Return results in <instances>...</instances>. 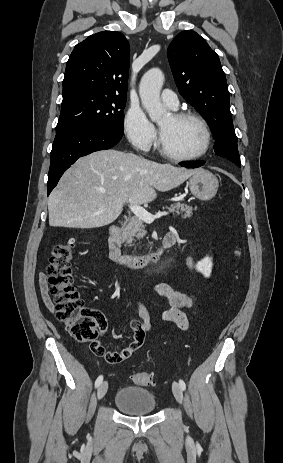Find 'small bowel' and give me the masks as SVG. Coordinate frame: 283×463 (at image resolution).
Returning <instances> with one entry per match:
<instances>
[{
    "label": "small bowel",
    "mask_w": 283,
    "mask_h": 463,
    "mask_svg": "<svg viewBox=\"0 0 283 463\" xmlns=\"http://www.w3.org/2000/svg\"><path fill=\"white\" fill-rule=\"evenodd\" d=\"M187 264L189 267H192L193 260L189 258ZM40 289L47 307L52 309V303L48 295V285L44 273L40 274ZM155 292L166 298L170 304V308L162 312V319L180 330H187L189 327V321L183 310L190 309L194 306L192 297L186 293L175 290L167 283H157L155 285ZM137 307L141 321H130V328L133 331V339L127 347L116 352L119 355V361L116 363L128 360L148 339L151 330L150 312L139 301L137 302Z\"/></svg>",
    "instance_id": "small-bowel-1"
}]
</instances>
